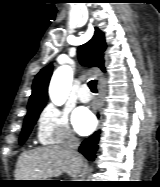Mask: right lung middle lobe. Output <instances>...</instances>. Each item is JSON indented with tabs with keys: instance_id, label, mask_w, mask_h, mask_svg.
Returning a JSON list of instances; mask_svg holds the SVG:
<instances>
[{
	"instance_id": "1",
	"label": "right lung middle lobe",
	"mask_w": 160,
	"mask_h": 187,
	"mask_svg": "<svg viewBox=\"0 0 160 187\" xmlns=\"http://www.w3.org/2000/svg\"><path fill=\"white\" fill-rule=\"evenodd\" d=\"M41 110L27 113L24 121L23 129L20 135V144H23L30 134L34 124L36 123Z\"/></svg>"
}]
</instances>
